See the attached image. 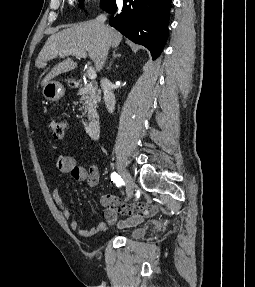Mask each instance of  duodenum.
<instances>
[{"mask_svg":"<svg viewBox=\"0 0 255 287\" xmlns=\"http://www.w3.org/2000/svg\"><path fill=\"white\" fill-rule=\"evenodd\" d=\"M72 85L77 87L79 83H73ZM86 132L91 139H97L100 133V120L98 118L91 119L87 124Z\"/></svg>","mask_w":255,"mask_h":287,"instance_id":"410a0bca","label":"duodenum"}]
</instances>
